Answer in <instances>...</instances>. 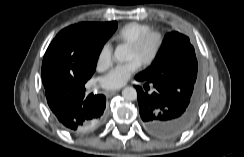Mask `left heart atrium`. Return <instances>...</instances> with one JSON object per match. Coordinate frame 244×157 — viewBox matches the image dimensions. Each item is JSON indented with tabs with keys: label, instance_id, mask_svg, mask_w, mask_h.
<instances>
[{
	"label": "left heart atrium",
	"instance_id": "obj_1",
	"mask_svg": "<svg viewBox=\"0 0 244 157\" xmlns=\"http://www.w3.org/2000/svg\"><path fill=\"white\" fill-rule=\"evenodd\" d=\"M141 63L135 59L117 65L110 70L102 79V86L107 90H116L123 87L130 77L138 71Z\"/></svg>",
	"mask_w": 244,
	"mask_h": 157
}]
</instances>
